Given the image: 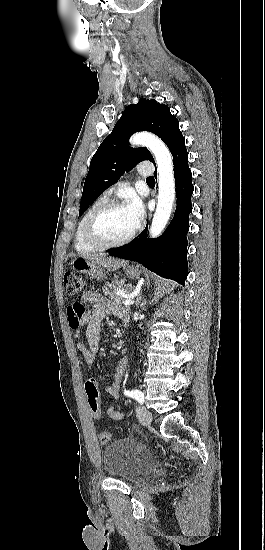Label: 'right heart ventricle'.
Masks as SVG:
<instances>
[{"label":"right heart ventricle","mask_w":265,"mask_h":550,"mask_svg":"<svg viewBox=\"0 0 265 550\" xmlns=\"http://www.w3.org/2000/svg\"><path fill=\"white\" fill-rule=\"evenodd\" d=\"M109 201L108 196L106 194L99 196L96 198L90 206L86 209L82 217L80 218L74 235V247L77 252L79 253H90L97 251L99 248L91 245L84 237V224L88 216L100 205L104 204L105 202Z\"/></svg>","instance_id":"obj_1"}]
</instances>
